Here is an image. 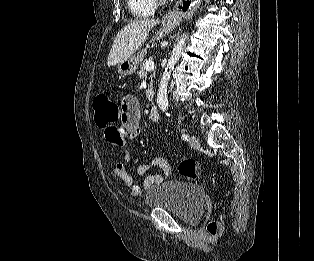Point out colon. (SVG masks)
<instances>
[{
  "label": "colon",
  "mask_w": 314,
  "mask_h": 261,
  "mask_svg": "<svg viewBox=\"0 0 314 261\" xmlns=\"http://www.w3.org/2000/svg\"><path fill=\"white\" fill-rule=\"evenodd\" d=\"M93 107L95 111L94 120L98 127L105 129L107 124H115L118 121V106L106 93L100 92L95 95ZM179 171L188 179H196L200 172V166L193 159H185L180 163ZM207 231L211 236H215L219 231V224L216 221L209 222Z\"/></svg>",
  "instance_id": "obj_1"
}]
</instances>
